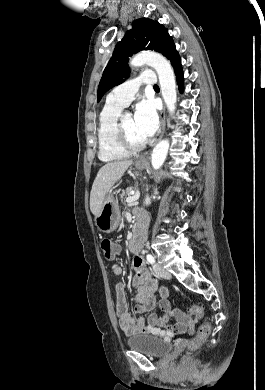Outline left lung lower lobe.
Returning <instances> with one entry per match:
<instances>
[{"mask_svg": "<svg viewBox=\"0 0 265 390\" xmlns=\"http://www.w3.org/2000/svg\"><path fill=\"white\" fill-rule=\"evenodd\" d=\"M171 65L174 68L175 75H176V80L179 86L180 92L183 91V70H182V65H181V58L179 54L176 55V57L173 59L171 62Z\"/></svg>", "mask_w": 265, "mask_h": 390, "instance_id": "0a47b994", "label": "left lung lower lobe"}]
</instances>
